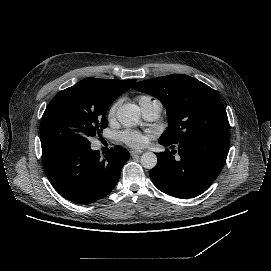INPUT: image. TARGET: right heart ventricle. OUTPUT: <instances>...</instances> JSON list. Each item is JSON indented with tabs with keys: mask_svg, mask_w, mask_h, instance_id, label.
I'll return each mask as SVG.
<instances>
[{
	"mask_svg": "<svg viewBox=\"0 0 271 271\" xmlns=\"http://www.w3.org/2000/svg\"><path fill=\"white\" fill-rule=\"evenodd\" d=\"M137 99L140 105L151 103L153 100L149 95H139Z\"/></svg>",
	"mask_w": 271,
	"mask_h": 271,
	"instance_id": "1",
	"label": "right heart ventricle"
}]
</instances>
